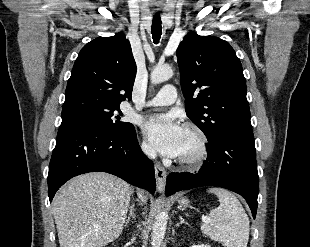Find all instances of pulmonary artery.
<instances>
[{"mask_svg": "<svg viewBox=\"0 0 310 247\" xmlns=\"http://www.w3.org/2000/svg\"><path fill=\"white\" fill-rule=\"evenodd\" d=\"M177 98L176 88L173 85H165L157 95L149 100L145 106H166L174 103Z\"/></svg>", "mask_w": 310, "mask_h": 247, "instance_id": "obj_1", "label": "pulmonary artery"}]
</instances>
